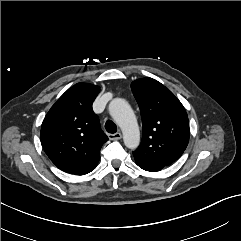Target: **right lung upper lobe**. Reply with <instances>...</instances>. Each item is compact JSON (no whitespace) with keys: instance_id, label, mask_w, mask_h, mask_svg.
<instances>
[{"instance_id":"obj_1","label":"right lung upper lobe","mask_w":241,"mask_h":241,"mask_svg":"<svg viewBox=\"0 0 241 241\" xmlns=\"http://www.w3.org/2000/svg\"><path fill=\"white\" fill-rule=\"evenodd\" d=\"M100 87L77 83L69 88L45 116L41 144L50 160L62 171L84 175L95 169L100 149L108 140L101 130L92 103Z\"/></svg>"}]
</instances>
